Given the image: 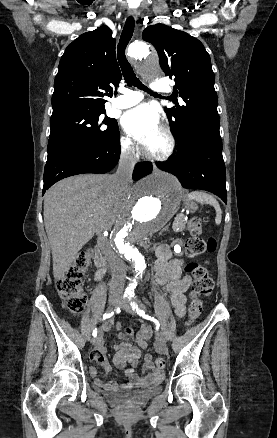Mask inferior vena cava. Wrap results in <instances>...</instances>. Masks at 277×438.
Instances as JSON below:
<instances>
[{
	"label": "inferior vena cava",
	"mask_w": 277,
	"mask_h": 438,
	"mask_svg": "<svg viewBox=\"0 0 277 438\" xmlns=\"http://www.w3.org/2000/svg\"><path fill=\"white\" fill-rule=\"evenodd\" d=\"M136 158L132 152H121L119 158L118 168L113 176L116 186L120 192L127 190L129 184L132 182V174ZM112 272V280L110 282V290H122L125 282V264L116 258V260H108Z\"/></svg>",
	"instance_id": "obj_1"
}]
</instances>
